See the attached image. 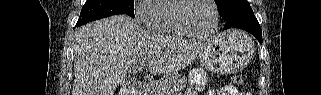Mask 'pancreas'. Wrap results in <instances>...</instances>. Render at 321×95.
<instances>
[{
	"label": "pancreas",
	"instance_id": "cf45deb5",
	"mask_svg": "<svg viewBox=\"0 0 321 95\" xmlns=\"http://www.w3.org/2000/svg\"><path fill=\"white\" fill-rule=\"evenodd\" d=\"M187 79L178 73L166 74L161 80L146 86L145 95H170L171 92L182 90L186 87Z\"/></svg>",
	"mask_w": 321,
	"mask_h": 95
}]
</instances>
